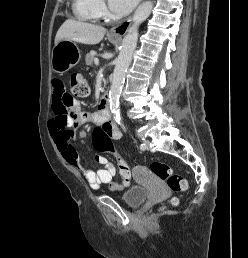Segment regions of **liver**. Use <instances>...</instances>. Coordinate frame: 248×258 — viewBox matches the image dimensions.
<instances>
[{"label":"liver","mask_w":248,"mask_h":258,"mask_svg":"<svg viewBox=\"0 0 248 258\" xmlns=\"http://www.w3.org/2000/svg\"><path fill=\"white\" fill-rule=\"evenodd\" d=\"M105 33L104 27L68 19L59 28L55 37V45L62 40L94 45L103 39Z\"/></svg>","instance_id":"liver-1"}]
</instances>
